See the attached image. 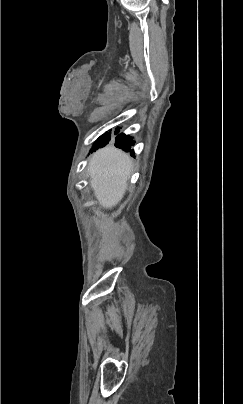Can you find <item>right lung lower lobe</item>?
I'll return each instance as SVG.
<instances>
[{
    "label": "right lung lower lobe",
    "instance_id": "1",
    "mask_svg": "<svg viewBox=\"0 0 243 404\" xmlns=\"http://www.w3.org/2000/svg\"><path fill=\"white\" fill-rule=\"evenodd\" d=\"M117 131L115 132V134H118V129H116ZM134 145V141L132 140L131 136L129 135H125L123 133L118 134L115 137V146L123 149L126 152H130L131 155L134 156V150H130L131 146Z\"/></svg>",
    "mask_w": 243,
    "mask_h": 404
}]
</instances>
